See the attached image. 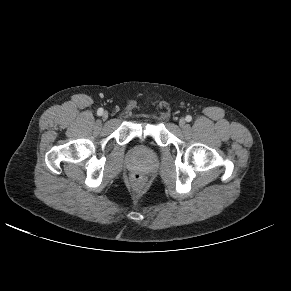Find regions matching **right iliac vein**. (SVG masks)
<instances>
[{"mask_svg": "<svg viewBox=\"0 0 291 291\" xmlns=\"http://www.w3.org/2000/svg\"><path fill=\"white\" fill-rule=\"evenodd\" d=\"M102 118L106 120L108 118V113L105 111L102 113Z\"/></svg>", "mask_w": 291, "mask_h": 291, "instance_id": "right-iliac-vein-1", "label": "right iliac vein"}]
</instances>
